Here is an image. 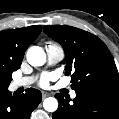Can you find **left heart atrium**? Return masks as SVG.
Wrapping results in <instances>:
<instances>
[{
    "mask_svg": "<svg viewBox=\"0 0 119 119\" xmlns=\"http://www.w3.org/2000/svg\"><path fill=\"white\" fill-rule=\"evenodd\" d=\"M50 79H51V76H45V77H43L41 79V85L42 86H47Z\"/></svg>",
    "mask_w": 119,
    "mask_h": 119,
    "instance_id": "left-heart-atrium-1",
    "label": "left heart atrium"
}]
</instances>
